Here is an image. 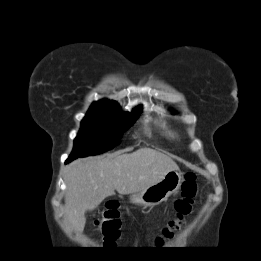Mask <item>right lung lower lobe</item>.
Masks as SVG:
<instances>
[{
  "mask_svg": "<svg viewBox=\"0 0 261 261\" xmlns=\"http://www.w3.org/2000/svg\"><path fill=\"white\" fill-rule=\"evenodd\" d=\"M72 160H74V159H72L71 157H69V158L66 160L65 163H68V162H70V161H72Z\"/></svg>",
  "mask_w": 261,
  "mask_h": 261,
  "instance_id": "obj_1",
  "label": "right lung lower lobe"
}]
</instances>
